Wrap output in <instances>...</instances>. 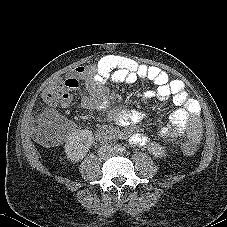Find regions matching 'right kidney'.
Segmentation results:
<instances>
[{
	"instance_id": "obj_1",
	"label": "right kidney",
	"mask_w": 227,
	"mask_h": 227,
	"mask_svg": "<svg viewBox=\"0 0 227 227\" xmlns=\"http://www.w3.org/2000/svg\"><path fill=\"white\" fill-rule=\"evenodd\" d=\"M93 143V134L90 130H77L69 134L66 139L65 152L71 162L82 160Z\"/></svg>"
}]
</instances>
